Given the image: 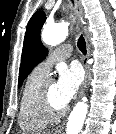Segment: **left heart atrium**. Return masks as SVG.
<instances>
[{
    "label": "left heart atrium",
    "instance_id": "39dd6f15",
    "mask_svg": "<svg viewBox=\"0 0 116 134\" xmlns=\"http://www.w3.org/2000/svg\"><path fill=\"white\" fill-rule=\"evenodd\" d=\"M82 81L83 72L79 65L72 64L69 67L64 66L59 69L56 86L63 106L73 99Z\"/></svg>",
    "mask_w": 116,
    "mask_h": 134
}]
</instances>
